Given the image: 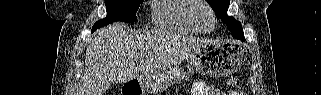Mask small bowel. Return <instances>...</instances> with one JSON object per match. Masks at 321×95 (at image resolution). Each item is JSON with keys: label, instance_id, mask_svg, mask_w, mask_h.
Instances as JSON below:
<instances>
[{"label": "small bowel", "instance_id": "obj_1", "mask_svg": "<svg viewBox=\"0 0 321 95\" xmlns=\"http://www.w3.org/2000/svg\"><path fill=\"white\" fill-rule=\"evenodd\" d=\"M195 95H226L232 94L236 95L235 93H222L218 88L213 86H205L201 83H197L195 85Z\"/></svg>", "mask_w": 321, "mask_h": 95}]
</instances>
